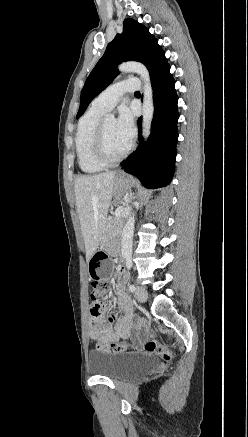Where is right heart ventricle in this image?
<instances>
[{"label":"right heart ventricle","mask_w":248,"mask_h":437,"mask_svg":"<svg viewBox=\"0 0 248 437\" xmlns=\"http://www.w3.org/2000/svg\"><path fill=\"white\" fill-rule=\"evenodd\" d=\"M105 111L91 106L78 122L75 148L79 168L86 174L101 172L105 166L94 156L93 146L97 127Z\"/></svg>","instance_id":"obj_1"}]
</instances>
